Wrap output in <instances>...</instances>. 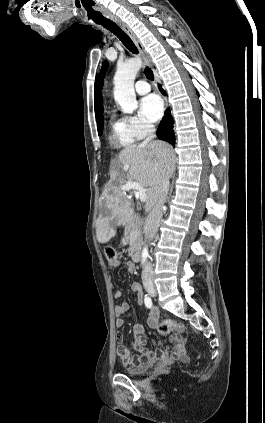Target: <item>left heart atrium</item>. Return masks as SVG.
Here are the masks:
<instances>
[{
	"mask_svg": "<svg viewBox=\"0 0 265 423\" xmlns=\"http://www.w3.org/2000/svg\"><path fill=\"white\" fill-rule=\"evenodd\" d=\"M141 115L150 122H157L163 115L164 106L156 94L143 97L139 103Z\"/></svg>",
	"mask_w": 265,
	"mask_h": 423,
	"instance_id": "obj_1",
	"label": "left heart atrium"
}]
</instances>
